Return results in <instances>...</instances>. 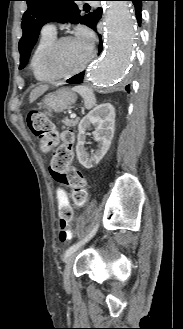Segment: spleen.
<instances>
[{"label": "spleen", "instance_id": "obj_1", "mask_svg": "<svg viewBox=\"0 0 183 329\" xmlns=\"http://www.w3.org/2000/svg\"><path fill=\"white\" fill-rule=\"evenodd\" d=\"M72 90L84 99L86 109H91L96 105V97L92 89L86 86H75Z\"/></svg>", "mask_w": 183, "mask_h": 329}]
</instances>
